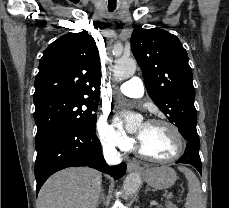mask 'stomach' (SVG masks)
<instances>
[{
	"instance_id": "stomach-1",
	"label": "stomach",
	"mask_w": 229,
	"mask_h": 208,
	"mask_svg": "<svg viewBox=\"0 0 229 208\" xmlns=\"http://www.w3.org/2000/svg\"><path fill=\"white\" fill-rule=\"evenodd\" d=\"M144 182L155 188V190H167L175 184L177 180L176 172L169 166H159V168H144L142 170Z\"/></svg>"
}]
</instances>
